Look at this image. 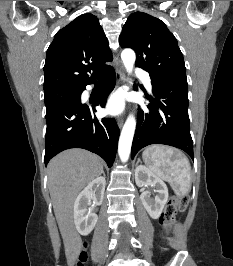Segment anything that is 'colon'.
I'll use <instances>...</instances> for the list:
<instances>
[{
	"label": "colon",
	"mask_w": 233,
	"mask_h": 266,
	"mask_svg": "<svg viewBox=\"0 0 233 266\" xmlns=\"http://www.w3.org/2000/svg\"><path fill=\"white\" fill-rule=\"evenodd\" d=\"M189 203L187 196L172 195L165 206L164 213L161 217V222L165 226H170L178 212L186 209ZM86 244H83V249L71 257V266H85L87 261V253L85 252Z\"/></svg>",
	"instance_id": "5ec220e1"
}]
</instances>
